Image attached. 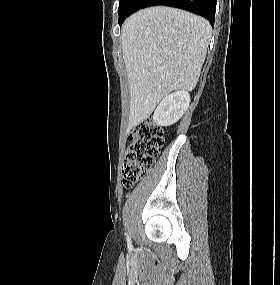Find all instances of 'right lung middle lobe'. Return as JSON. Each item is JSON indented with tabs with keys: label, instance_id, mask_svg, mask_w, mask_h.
Instances as JSON below:
<instances>
[{
	"label": "right lung middle lobe",
	"instance_id": "dd1d6c3e",
	"mask_svg": "<svg viewBox=\"0 0 280 285\" xmlns=\"http://www.w3.org/2000/svg\"><path fill=\"white\" fill-rule=\"evenodd\" d=\"M137 1L138 0H120L118 8V14H119L118 20H122L128 17L132 12V10L134 9Z\"/></svg>",
	"mask_w": 280,
	"mask_h": 285
}]
</instances>
